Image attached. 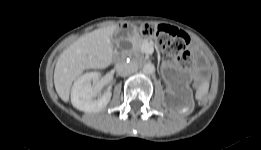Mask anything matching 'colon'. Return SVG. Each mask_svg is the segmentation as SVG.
<instances>
[{"mask_svg":"<svg viewBox=\"0 0 261 150\" xmlns=\"http://www.w3.org/2000/svg\"><path fill=\"white\" fill-rule=\"evenodd\" d=\"M141 35L153 38L160 50L170 55L176 66L189 67L191 55L187 50L189 43L188 35L169 25H154L149 23L137 26Z\"/></svg>","mask_w":261,"mask_h":150,"instance_id":"obj_1","label":"colon"}]
</instances>
